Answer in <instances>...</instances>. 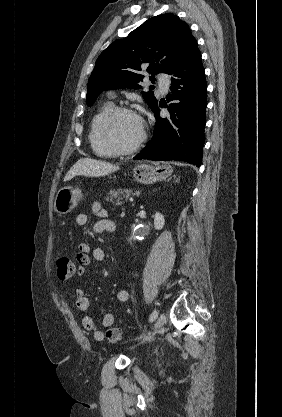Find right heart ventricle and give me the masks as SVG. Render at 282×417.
I'll return each instance as SVG.
<instances>
[{
  "instance_id": "e07e8e85",
  "label": "right heart ventricle",
  "mask_w": 282,
  "mask_h": 417,
  "mask_svg": "<svg viewBox=\"0 0 282 417\" xmlns=\"http://www.w3.org/2000/svg\"><path fill=\"white\" fill-rule=\"evenodd\" d=\"M113 109V104L105 103L99 112L93 118L90 131V141L93 149L101 156H109L112 154L103 144L100 133V125L105 116Z\"/></svg>"
}]
</instances>
